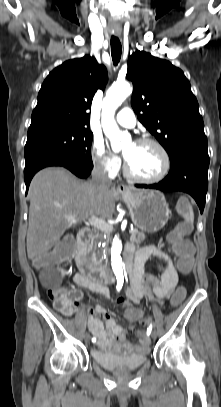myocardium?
I'll return each instance as SVG.
<instances>
[{
    "mask_svg": "<svg viewBox=\"0 0 221 407\" xmlns=\"http://www.w3.org/2000/svg\"><path fill=\"white\" fill-rule=\"evenodd\" d=\"M135 143L149 144V145L155 146L161 152V154L164 158V169L161 172V174L158 175L157 177H154V178L143 177L133 171L128 160L125 158V163H124L125 174L129 178H131L135 181H138L141 183H146V184H155V183H158V182L164 180L168 176V174L171 170V157H170L168 150L164 147L163 144H161L159 141H157L153 138L142 137V138L137 139Z\"/></svg>",
    "mask_w": 221,
    "mask_h": 407,
    "instance_id": "f54148a6",
    "label": "myocardium"
}]
</instances>
